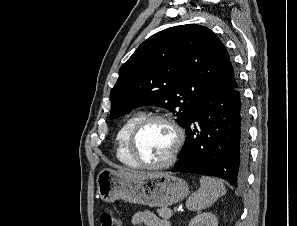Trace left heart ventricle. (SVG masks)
<instances>
[{
  "mask_svg": "<svg viewBox=\"0 0 297 226\" xmlns=\"http://www.w3.org/2000/svg\"><path fill=\"white\" fill-rule=\"evenodd\" d=\"M175 135L172 128L164 122L153 121L146 124L136 139V151L148 164L166 160L174 146Z\"/></svg>",
  "mask_w": 297,
  "mask_h": 226,
  "instance_id": "left-heart-ventricle-1",
  "label": "left heart ventricle"
}]
</instances>
